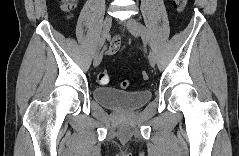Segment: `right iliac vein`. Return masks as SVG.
I'll list each match as a JSON object with an SVG mask.
<instances>
[{
    "label": "right iliac vein",
    "mask_w": 239,
    "mask_h": 156,
    "mask_svg": "<svg viewBox=\"0 0 239 156\" xmlns=\"http://www.w3.org/2000/svg\"><path fill=\"white\" fill-rule=\"evenodd\" d=\"M112 25V18L110 16H107L104 20L103 23V31H102V37H104L105 39L108 37L109 35V31ZM102 60V53H99L97 56L94 57V66L97 67L100 62Z\"/></svg>",
    "instance_id": "right-iliac-vein-1"
}]
</instances>
